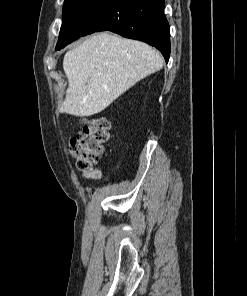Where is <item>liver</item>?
Segmentation results:
<instances>
[{
	"mask_svg": "<svg viewBox=\"0 0 247 296\" xmlns=\"http://www.w3.org/2000/svg\"><path fill=\"white\" fill-rule=\"evenodd\" d=\"M162 67V56L146 43L107 32L93 35L64 56L69 85L60 111L77 117L100 113Z\"/></svg>",
	"mask_w": 247,
	"mask_h": 296,
	"instance_id": "1",
	"label": "liver"
}]
</instances>
